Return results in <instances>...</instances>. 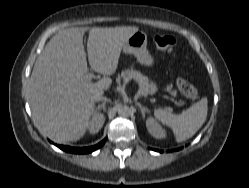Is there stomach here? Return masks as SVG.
Returning a JSON list of instances; mask_svg holds the SVG:
<instances>
[{
  "label": "stomach",
  "instance_id": "stomach-1",
  "mask_svg": "<svg viewBox=\"0 0 249 188\" xmlns=\"http://www.w3.org/2000/svg\"><path fill=\"white\" fill-rule=\"evenodd\" d=\"M125 54H132L137 61L144 66H152L154 58L147 49V35L143 31H137L128 38L123 46Z\"/></svg>",
  "mask_w": 249,
  "mask_h": 188
}]
</instances>
